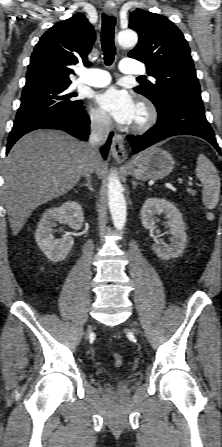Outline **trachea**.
I'll return each instance as SVG.
<instances>
[{
  "label": "trachea",
  "instance_id": "3493384b",
  "mask_svg": "<svg viewBox=\"0 0 222 447\" xmlns=\"http://www.w3.org/2000/svg\"><path fill=\"white\" fill-rule=\"evenodd\" d=\"M115 18L106 14L102 15V28H101V44L103 49L104 61L106 65H112L115 56L114 45V27ZM138 79H144L138 77Z\"/></svg>",
  "mask_w": 222,
  "mask_h": 447
}]
</instances>
